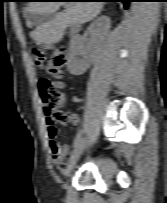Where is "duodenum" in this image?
<instances>
[{
    "mask_svg": "<svg viewBox=\"0 0 167 203\" xmlns=\"http://www.w3.org/2000/svg\"><path fill=\"white\" fill-rule=\"evenodd\" d=\"M81 30V26L79 24H71L69 29V36L74 37Z\"/></svg>",
    "mask_w": 167,
    "mask_h": 203,
    "instance_id": "1",
    "label": "duodenum"
}]
</instances>
